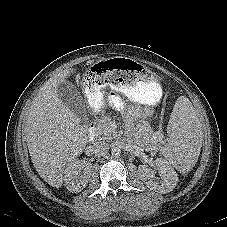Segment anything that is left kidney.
Listing matches in <instances>:
<instances>
[{
  "label": "left kidney",
  "instance_id": "5707ae66",
  "mask_svg": "<svg viewBox=\"0 0 227 227\" xmlns=\"http://www.w3.org/2000/svg\"><path fill=\"white\" fill-rule=\"evenodd\" d=\"M156 169L160 177H156L155 171L146 165L138 167V174L148 188L164 194L171 192L178 182L176 171L168 161L162 158L156 159Z\"/></svg>",
  "mask_w": 227,
  "mask_h": 227
}]
</instances>
